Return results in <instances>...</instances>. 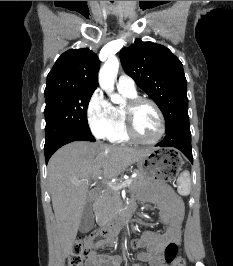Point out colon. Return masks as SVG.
Returning <instances> with one entry per match:
<instances>
[{"instance_id": "obj_1", "label": "colon", "mask_w": 233, "mask_h": 266, "mask_svg": "<svg viewBox=\"0 0 233 266\" xmlns=\"http://www.w3.org/2000/svg\"><path fill=\"white\" fill-rule=\"evenodd\" d=\"M95 237L96 234H90L76 240L68 256V266H84V258L89 254L90 244ZM164 259L169 266H186L184 258L178 254L176 244L167 245L164 251Z\"/></svg>"}]
</instances>
